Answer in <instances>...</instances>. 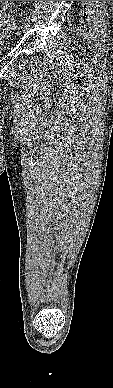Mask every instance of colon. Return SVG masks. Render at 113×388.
Returning <instances> with one entry per match:
<instances>
[{
  "instance_id": "obj_1",
  "label": "colon",
  "mask_w": 113,
  "mask_h": 388,
  "mask_svg": "<svg viewBox=\"0 0 113 388\" xmlns=\"http://www.w3.org/2000/svg\"><path fill=\"white\" fill-rule=\"evenodd\" d=\"M0 3H1L0 6L2 7V5H4V2L0 1Z\"/></svg>"
}]
</instances>
